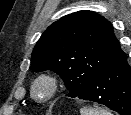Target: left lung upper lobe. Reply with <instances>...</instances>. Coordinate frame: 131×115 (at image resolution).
<instances>
[{"label": "left lung upper lobe", "mask_w": 131, "mask_h": 115, "mask_svg": "<svg viewBox=\"0 0 131 115\" xmlns=\"http://www.w3.org/2000/svg\"><path fill=\"white\" fill-rule=\"evenodd\" d=\"M125 56L111 23L91 11H78L54 22L32 52L35 72L52 70L77 97L101 72Z\"/></svg>", "instance_id": "1"}]
</instances>
